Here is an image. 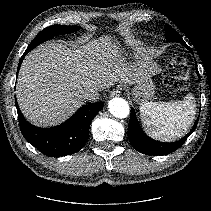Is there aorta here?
Masks as SVG:
<instances>
[{
  "instance_id": "1",
  "label": "aorta",
  "mask_w": 211,
  "mask_h": 211,
  "mask_svg": "<svg viewBox=\"0 0 211 211\" xmlns=\"http://www.w3.org/2000/svg\"><path fill=\"white\" fill-rule=\"evenodd\" d=\"M110 113L117 118H126L129 115L130 108L127 101L123 98H112L108 103Z\"/></svg>"
}]
</instances>
